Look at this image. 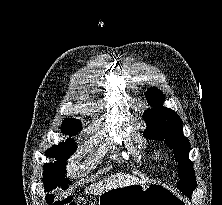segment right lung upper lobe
<instances>
[{"instance_id":"right-lung-upper-lobe-1","label":"right lung upper lobe","mask_w":222,"mask_h":205,"mask_svg":"<svg viewBox=\"0 0 222 205\" xmlns=\"http://www.w3.org/2000/svg\"><path fill=\"white\" fill-rule=\"evenodd\" d=\"M78 124H81V122L79 120L73 119V118H67L62 123V125H78Z\"/></svg>"}]
</instances>
